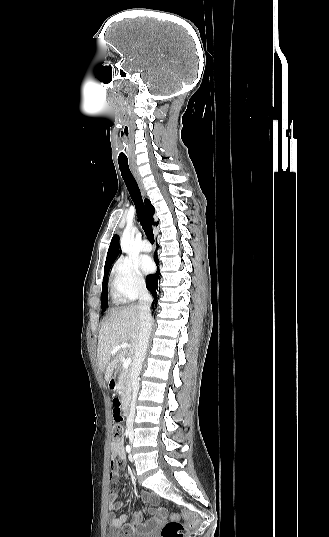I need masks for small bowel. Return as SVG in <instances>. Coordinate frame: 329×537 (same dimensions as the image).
<instances>
[{"instance_id": "small-bowel-1", "label": "small bowel", "mask_w": 329, "mask_h": 537, "mask_svg": "<svg viewBox=\"0 0 329 537\" xmlns=\"http://www.w3.org/2000/svg\"><path fill=\"white\" fill-rule=\"evenodd\" d=\"M112 420L114 423L119 424L123 420L122 409L117 403L112 405ZM111 458L109 460V478L113 485L119 482V471L122 466V462L125 460V450L123 441L118 443H112L110 446ZM120 493L117 490L111 489L109 495L108 509L110 515V527L114 530H121L126 533H144L149 532L157 528L166 517V510L163 507L158 506V497L149 492L142 494L143 501L148 502L154 506L150 510L152 517L145 519L143 513L137 512L133 515V519L128 522V516L121 514L115 515V512L122 508V503L119 501Z\"/></svg>"}]
</instances>
